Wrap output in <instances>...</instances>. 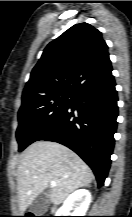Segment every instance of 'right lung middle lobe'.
<instances>
[{
    "label": "right lung middle lobe",
    "mask_w": 132,
    "mask_h": 217,
    "mask_svg": "<svg viewBox=\"0 0 132 217\" xmlns=\"http://www.w3.org/2000/svg\"><path fill=\"white\" fill-rule=\"evenodd\" d=\"M74 96L73 93L59 92L22 98L16 131L20 152L53 126L71 105Z\"/></svg>",
    "instance_id": "obj_1"
}]
</instances>
